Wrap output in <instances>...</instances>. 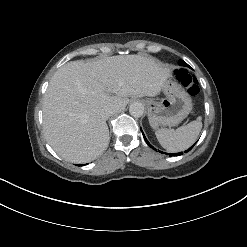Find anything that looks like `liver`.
<instances>
[{
  "label": "liver",
  "mask_w": 247,
  "mask_h": 247,
  "mask_svg": "<svg viewBox=\"0 0 247 247\" xmlns=\"http://www.w3.org/2000/svg\"><path fill=\"white\" fill-rule=\"evenodd\" d=\"M170 77L166 66L144 55L63 65L52 76L43 99L47 142L69 162L94 160L109 144L102 110H124L133 95L156 96Z\"/></svg>",
  "instance_id": "obj_1"
}]
</instances>
